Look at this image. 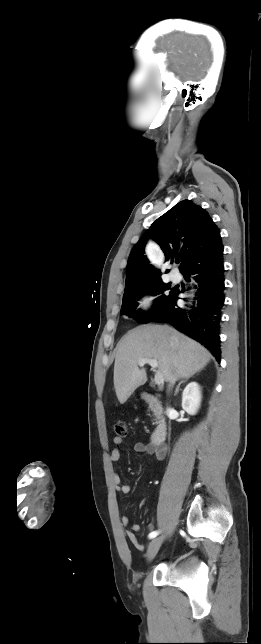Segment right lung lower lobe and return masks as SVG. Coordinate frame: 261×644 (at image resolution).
I'll return each mask as SVG.
<instances>
[{"label": "right lung lower lobe", "instance_id": "98d812e1", "mask_svg": "<svg viewBox=\"0 0 261 644\" xmlns=\"http://www.w3.org/2000/svg\"><path fill=\"white\" fill-rule=\"evenodd\" d=\"M224 265L222 257L214 262L194 265L181 271L187 279L189 274H197L194 279L198 290L194 305L189 311L177 305V293L165 308L156 316L154 322H169L180 332L204 345L220 361V323L224 306Z\"/></svg>", "mask_w": 261, "mask_h": 644}]
</instances>
